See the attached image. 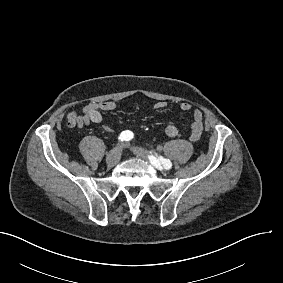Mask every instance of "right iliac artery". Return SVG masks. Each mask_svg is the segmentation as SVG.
<instances>
[{
    "mask_svg": "<svg viewBox=\"0 0 283 283\" xmlns=\"http://www.w3.org/2000/svg\"><path fill=\"white\" fill-rule=\"evenodd\" d=\"M133 137H134L133 132H131V131H129V130H126V131H123V132L120 134L119 140H120V141H129V140H131Z\"/></svg>",
    "mask_w": 283,
    "mask_h": 283,
    "instance_id": "1",
    "label": "right iliac artery"
}]
</instances>
